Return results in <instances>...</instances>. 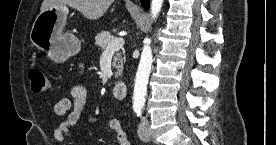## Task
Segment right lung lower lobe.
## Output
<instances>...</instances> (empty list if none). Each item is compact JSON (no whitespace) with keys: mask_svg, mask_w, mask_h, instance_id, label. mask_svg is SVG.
<instances>
[{"mask_svg":"<svg viewBox=\"0 0 276 145\" xmlns=\"http://www.w3.org/2000/svg\"><path fill=\"white\" fill-rule=\"evenodd\" d=\"M141 3L144 6V8L149 9V2H148V0H141Z\"/></svg>","mask_w":276,"mask_h":145,"instance_id":"1","label":"right lung lower lobe"}]
</instances>
